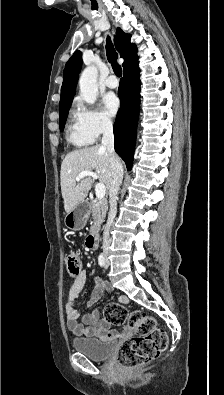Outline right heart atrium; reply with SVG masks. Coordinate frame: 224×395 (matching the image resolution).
I'll return each instance as SVG.
<instances>
[{
  "mask_svg": "<svg viewBox=\"0 0 224 395\" xmlns=\"http://www.w3.org/2000/svg\"><path fill=\"white\" fill-rule=\"evenodd\" d=\"M75 117L82 130L93 140L100 138L113 127L112 120L103 111L88 107L80 101L76 103Z\"/></svg>",
  "mask_w": 224,
  "mask_h": 395,
  "instance_id": "d8ad5b80",
  "label": "right heart atrium"
}]
</instances>
